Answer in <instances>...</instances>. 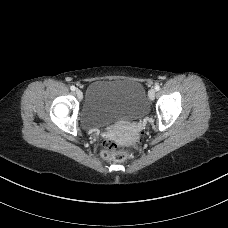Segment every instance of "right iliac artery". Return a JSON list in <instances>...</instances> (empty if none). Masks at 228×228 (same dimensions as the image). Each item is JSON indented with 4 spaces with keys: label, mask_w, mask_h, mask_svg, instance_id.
I'll use <instances>...</instances> for the list:
<instances>
[{
    "label": "right iliac artery",
    "mask_w": 228,
    "mask_h": 228,
    "mask_svg": "<svg viewBox=\"0 0 228 228\" xmlns=\"http://www.w3.org/2000/svg\"><path fill=\"white\" fill-rule=\"evenodd\" d=\"M70 89H71L72 91H75L76 87H75V86H71Z\"/></svg>",
    "instance_id": "82829eb1"
}]
</instances>
